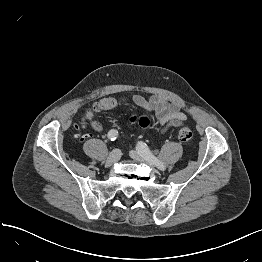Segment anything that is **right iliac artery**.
Segmentation results:
<instances>
[{
    "instance_id": "1",
    "label": "right iliac artery",
    "mask_w": 262,
    "mask_h": 262,
    "mask_svg": "<svg viewBox=\"0 0 262 262\" xmlns=\"http://www.w3.org/2000/svg\"><path fill=\"white\" fill-rule=\"evenodd\" d=\"M118 137V131L115 130V129H112L108 132V138L111 140V141H114L116 140V138Z\"/></svg>"
}]
</instances>
